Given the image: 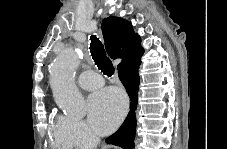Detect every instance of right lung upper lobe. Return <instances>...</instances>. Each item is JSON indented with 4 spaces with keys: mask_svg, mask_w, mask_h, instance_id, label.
<instances>
[{
    "mask_svg": "<svg viewBox=\"0 0 227 149\" xmlns=\"http://www.w3.org/2000/svg\"><path fill=\"white\" fill-rule=\"evenodd\" d=\"M101 28L109 56L112 59H122L118 69L128 63L140 61L144 50L140 37L134 33L128 21L110 16L103 20Z\"/></svg>",
    "mask_w": 227,
    "mask_h": 149,
    "instance_id": "1",
    "label": "right lung upper lobe"
}]
</instances>
